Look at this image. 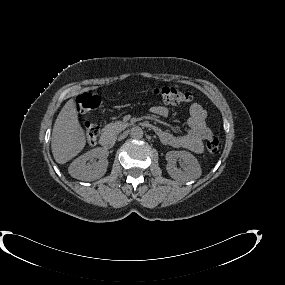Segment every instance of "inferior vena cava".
<instances>
[{"mask_svg": "<svg viewBox=\"0 0 285 285\" xmlns=\"http://www.w3.org/2000/svg\"><path fill=\"white\" fill-rule=\"evenodd\" d=\"M118 140H119L120 142H123V141L125 140V134H124V133H119V134H118Z\"/></svg>", "mask_w": 285, "mask_h": 285, "instance_id": "1", "label": "inferior vena cava"}]
</instances>
